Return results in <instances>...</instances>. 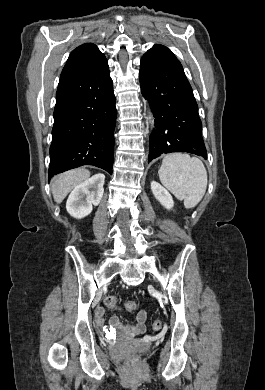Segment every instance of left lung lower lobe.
Listing matches in <instances>:
<instances>
[{"instance_id":"left-lung-lower-lobe-1","label":"left lung lower lobe","mask_w":265,"mask_h":390,"mask_svg":"<svg viewBox=\"0 0 265 390\" xmlns=\"http://www.w3.org/2000/svg\"><path fill=\"white\" fill-rule=\"evenodd\" d=\"M139 76L142 95L155 118L148 162L174 152L207 159L198 106L178 59L146 53L141 58Z\"/></svg>"}]
</instances>
